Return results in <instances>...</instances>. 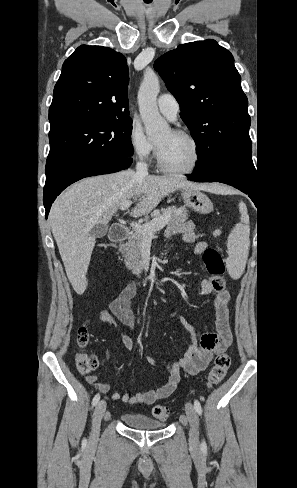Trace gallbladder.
Returning <instances> with one entry per match:
<instances>
[{
	"mask_svg": "<svg viewBox=\"0 0 297 488\" xmlns=\"http://www.w3.org/2000/svg\"><path fill=\"white\" fill-rule=\"evenodd\" d=\"M108 232V226L104 224H95L90 231V235L96 238L104 237Z\"/></svg>",
	"mask_w": 297,
	"mask_h": 488,
	"instance_id": "bac80fb5",
	"label": "gallbladder"
}]
</instances>
